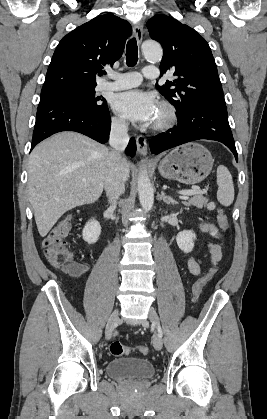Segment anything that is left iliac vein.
<instances>
[{
	"label": "left iliac vein",
	"instance_id": "4c4485c4",
	"mask_svg": "<svg viewBox=\"0 0 267 419\" xmlns=\"http://www.w3.org/2000/svg\"><path fill=\"white\" fill-rule=\"evenodd\" d=\"M149 320L157 327L159 324V317L157 315V312L153 309L150 308L149 310ZM143 326H147V322L143 321L142 322ZM162 336H160L159 332H156L154 337H153V346L156 350H161L162 349Z\"/></svg>",
	"mask_w": 267,
	"mask_h": 419
}]
</instances>
